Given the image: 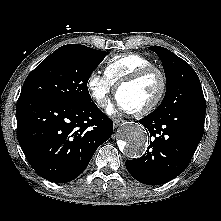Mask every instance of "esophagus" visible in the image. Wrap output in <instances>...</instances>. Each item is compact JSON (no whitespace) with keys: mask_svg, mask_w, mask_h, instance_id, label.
<instances>
[{"mask_svg":"<svg viewBox=\"0 0 221 221\" xmlns=\"http://www.w3.org/2000/svg\"><path fill=\"white\" fill-rule=\"evenodd\" d=\"M123 122H124V120L121 119V118H116V119L113 120V123H114L115 127L120 126Z\"/></svg>","mask_w":221,"mask_h":221,"instance_id":"34e87169","label":"esophagus"}]
</instances>
